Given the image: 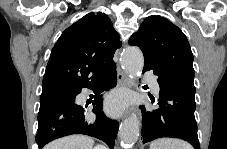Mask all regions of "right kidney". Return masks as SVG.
Listing matches in <instances>:
<instances>
[{
    "label": "right kidney",
    "instance_id": "ca27d5eb",
    "mask_svg": "<svg viewBox=\"0 0 227 149\" xmlns=\"http://www.w3.org/2000/svg\"><path fill=\"white\" fill-rule=\"evenodd\" d=\"M95 149H102V147H100V146H97V147H95Z\"/></svg>",
    "mask_w": 227,
    "mask_h": 149
}]
</instances>
